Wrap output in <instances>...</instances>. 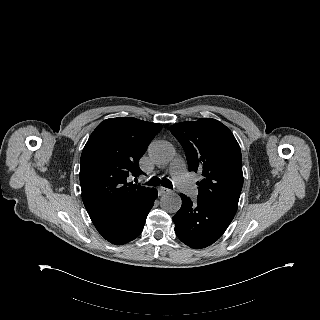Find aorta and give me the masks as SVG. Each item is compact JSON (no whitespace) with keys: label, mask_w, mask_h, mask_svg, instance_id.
<instances>
[{"label":"aorta","mask_w":320,"mask_h":320,"mask_svg":"<svg viewBox=\"0 0 320 320\" xmlns=\"http://www.w3.org/2000/svg\"><path fill=\"white\" fill-rule=\"evenodd\" d=\"M148 155L155 164L167 165L173 159L175 151L169 142L159 140L150 144ZM160 204L163 210L176 213L181 208L182 200L178 194L170 192L161 197Z\"/></svg>","instance_id":"obj_1"}]
</instances>
